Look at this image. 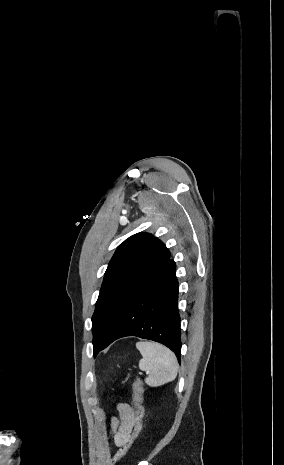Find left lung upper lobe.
<instances>
[{"mask_svg": "<svg viewBox=\"0 0 284 465\" xmlns=\"http://www.w3.org/2000/svg\"><path fill=\"white\" fill-rule=\"evenodd\" d=\"M170 259L165 244L149 233H137L117 248L104 275L92 316L94 357L114 321Z\"/></svg>", "mask_w": 284, "mask_h": 465, "instance_id": "left-lung-upper-lobe-1", "label": "left lung upper lobe"}]
</instances>
